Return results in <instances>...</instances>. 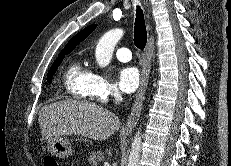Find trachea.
Here are the masks:
<instances>
[{
  "label": "trachea",
  "instance_id": "3493384b",
  "mask_svg": "<svg viewBox=\"0 0 231 166\" xmlns=\"http://www.w3.org/2000/svg\"><path fill=\"white\" fill-rule=\"evenodd\" d=\"M147 42V31L142 10L138 7L136 10V19L134 27V44L139 50L145 48Z\"/></svg>",
  "mask_w": 231,
  "mask_h": 166
}]
</instances>
